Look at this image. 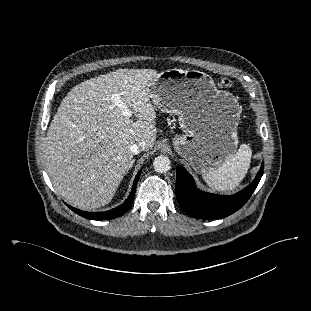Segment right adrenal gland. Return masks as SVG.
I'll list each match as a JSON object with an SVG mask.
<instances>
[{"label":"right adrenal gland","mask_w":311,"mask_h":311,"mask_svg":"<svg viewBox=\"0 0 311 311\" xmlns=\"http://www.w3.org/2000/svg\"><path fill=\"white\" fill-rule=\"evenodd\" d=\"M132 165H133V164H131V165L129 166L128 170L132 167ZM128 170H127V172H128Z\"/></svg>","instance_id":"obj_1"}]
</instances>
